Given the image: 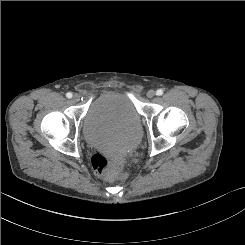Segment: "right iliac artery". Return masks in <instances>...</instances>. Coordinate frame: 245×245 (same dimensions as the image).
<instances>
[{"label":"right iliac artery","mask_w":245,"mask_h":245,"mask_svg":"<svg viewBox=\"0 0 245 245\" xmlns=\"http://www.w3.org/2000/svg\"><path fill=\"white\" fill-rule=\"evenodd\" d=\"M66 97L69 98V99L72 98V93H71V92H68V93L66 94Z\"/></svg>","instance_id":"1"}]
</instances>
